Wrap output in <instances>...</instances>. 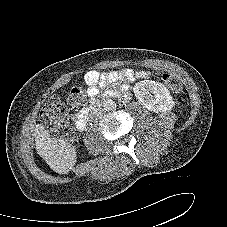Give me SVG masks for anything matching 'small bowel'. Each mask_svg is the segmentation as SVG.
Returning a JSON list of instances; mask_svg holds the SVG:
<instances>
[{
  "mask_svg": "<svg viewBox=\"0 0 227 227\" xmlns=\"http://www.w3.org/2000/svg\"><path fill=\"white\" fill-rule=\"evenodd\" d=\"M150 75L147 71H134L132 69H121L111 72L87 71L84 74V81L87 85V95L95 97L99 89L110 83H120L122 89H128V82L136 78H145Z\"/></svg>",
  "mask_w": 227,
  "mask_h": 227,
  "instance_id": "obj_1",
  "label": "small bowel"
}]
</instances>
